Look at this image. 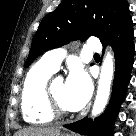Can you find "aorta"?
<instances>
[{
    "mask_svg": "<svg viewBox=\"0 0 136 136\" xmlns=\"http://www.w3.org/2000/svg\"><path fill=\"white\" fill-rule=\"evenodd\" d=\"M114 73L113 55L107 52L101 66L100 77L98 81L97 95L92 108V116L99 115L105 108L111 89V83Z\"/></svg>",
    "mask_w": 136,
    "mask_h": 136,
    "instance_id": "1",
    "label": "aorta"
}]
</instances>
